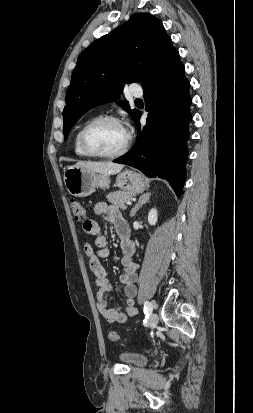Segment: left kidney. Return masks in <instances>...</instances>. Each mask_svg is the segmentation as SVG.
<instances>
[{
  "instance_id": "5707ae66",
  "label": "left kidney",
  "mask_w": 253,
  "mask_h": 413,
  "mask_svg": "<svg viewBox=\"0 0 253 413\" xmlns=\"http://www.w3.org/2000/svg\"><path fill=\"white\" fill-rule=\"evenodd\" d=\"M158 215L156 209H151L148 214V222L150 225H155L157 223Z\"/></svg>"
}]
</instances>
